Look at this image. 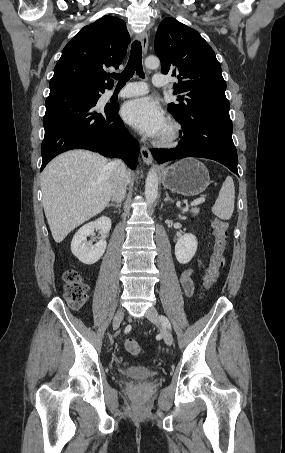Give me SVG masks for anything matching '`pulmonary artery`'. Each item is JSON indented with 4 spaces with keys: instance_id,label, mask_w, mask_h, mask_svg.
Listing matches in <instances>:
<instances>
[{
    "instance_id": "e3ab8cb5",
    "label": "pulmonary artery",
    "mask_w": 285,
    "mask_h": 453,
    "mask_svg": "<svg viewBox=\"0 0 285 453\" xmlns=\"http://www.w3.org/2000/svg\"><path fill=\"white\" fill-rule=\"evenodd\" d=\"M167 83V77L164 74L157 73L153 76V84L155 86H163ZM147 93V86L144 82H131L128 83L123 89L115 93L110 91L109 96L116 94L119 97H135Z\"/></svg>"
}]
</instances>
